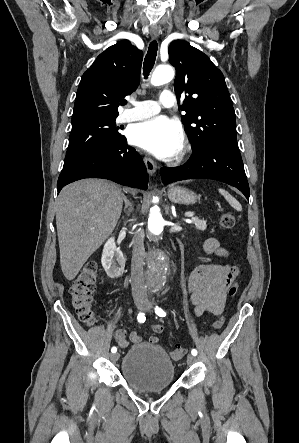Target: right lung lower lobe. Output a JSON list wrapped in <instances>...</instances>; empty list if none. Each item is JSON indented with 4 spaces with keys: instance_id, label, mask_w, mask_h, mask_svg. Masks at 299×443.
<instances>
[{
    "instance_id": "1",
    "label": "right lung lower lobe",
    "mask_w": 299,
    "mask_h": 443,
    "mask_svg": "<svg viewBox=\"0 0 299 443\" xmlns=\"http://www.w3.org/2000/svg\"><path fill=\"white\" fill-rule=\"evenodd\" d=\"M84 178L109 179L144 190L149 180L142 157L127 145L125 137L63 167L57 182L58 193L65 185Z\"/></svg>"
}]
</instances>
